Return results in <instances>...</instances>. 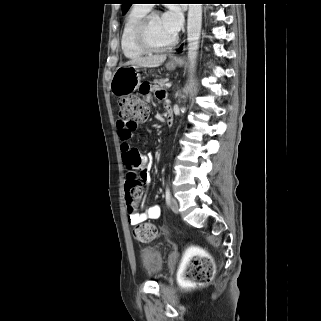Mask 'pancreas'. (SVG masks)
<instances>
[{
    "label": "pancreas",
    "instance_id": "1",
    "mask_svg": "<svg viewBox=\"0 0 321 321\" xmlns=\"http://www.w3.org/2000/svg\"><path fill=\"white\" fill-rule=\"evenodd\" d=\"M168 82V79H158V80H155L154 81V84L157 86V87H160V88H163L166 83Z\"/></svg>",
    "mask_w": 321,
    "mask_h": 321
}]
</instances>
